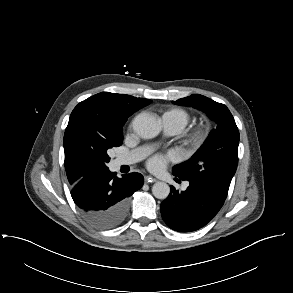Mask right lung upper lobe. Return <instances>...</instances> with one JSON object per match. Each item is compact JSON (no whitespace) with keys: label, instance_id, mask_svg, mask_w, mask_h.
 <instances>
[{"label":"right lung upper lobe","instance_id":"obj_1","mask_svg":"<svg viewBox=\"0 0 293 293\" xmlns=\"http://www.w3.org/2000/svg\"><path fill=\"white\" fill-rule=\"evenodd\" d=\"M88 99L100 100L107 111L127 116L132 115L134 112L149 105L152 102L149 99L136 98L130 95L115 94L109 92H101ZM81 105L82 104L80 102L72 111L64 135L65 167L67 178L70 184H75L77 180L83 175L75 168L72 159L69 157V149L71 146L70 130L76 125V118L78 112L81 109Z\"/></svg>","mask_w":293,"mask_h":293}]
</instances>
